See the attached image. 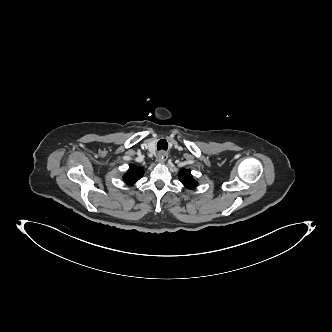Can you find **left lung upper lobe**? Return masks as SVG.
Returning <instances> with one entry per match:
<instances>
[{"mask_svg": "<svg viewBox=\"0 0 332 332\" xmlns=\"http://www.w3.org/2000/svg\"><path fill=\"white\" fill-rule=\"evenodd\" d=\"M179 179L181 183L187 188H194L197 186V182L193 179L190 171L187 169H183L180 171Z\"/></svg>", "mask_w": 332, "mask_h": 332, "instance_id": "obj_1", "label": "left lung upper lobe"}]
</instances>
